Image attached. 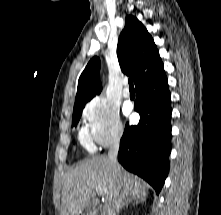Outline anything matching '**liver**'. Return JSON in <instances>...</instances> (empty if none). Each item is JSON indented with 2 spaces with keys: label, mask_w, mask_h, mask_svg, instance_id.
Segmentation results:
<instances>
[{
  "label": "liver",
  "mask_w": 221,
  "mask_h": 215,
  "mask_svg": "<svg viewBox=\"0 0 221 215\" xmlns=\"http://www.w3.org/2000/svg\"><path fill=\"white\" fill-rule=\"evenodd\" d=\"M118 166L120 171L116 174L108 157L99 156L85 160L67 172L62 184L61 215L82 212L97 190L105 200V207L118 191L134 199L145 200L148 195L145 182Z\"/></svg>",
  "instance_id": "6515ba94"
}]
</instances>
